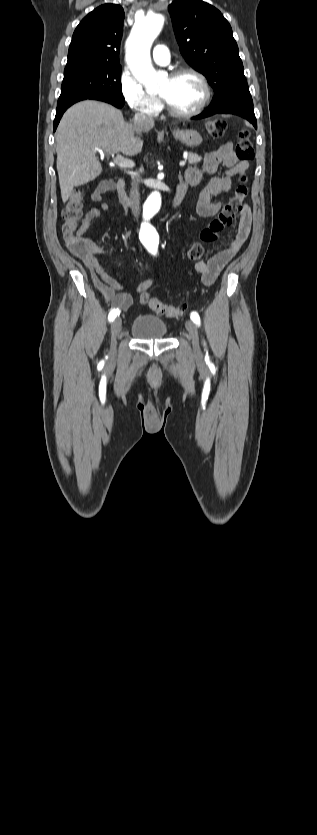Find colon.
I'll use <instances>...</instances> for the list:
<instances>
[{"label": "colon", "mask_w": 317, "mask_h": 835, "mask_svg": "<svg viewBox=\"0 0 317 835\" xmlns=\"http://www.w3.org/2000/svg\"><path fill=\"white\" fill-rule=\"evenodd\" d=\"M226 128L227 126L224 121L216 119L207 122L205 126L206 132L214 138L223 137ZM236 156L243 161H250L254 158L253 144L246 130H241L238 133ZM245 181V176L239 177V183L234 195L223 206L219 214L202 230L200 236L201 242L195 243L189 248L187 254L190 260L194 261L202 258L205 251L204 244L216 241L220 233L233 223L236 215L242 209L248 194ZM82 209L83 194L79 189H75L69 195L61 212L64 221L63 232L69 247L77 255L88 256L95 251L96 247L91 239L83 236V234H79V230L81 229L79 221L82 216ZM139 302L142 305H147L155 314L167 318H181L185 313L183 306L165 303L150 296L146 291L140 293Z\"/></svg>", "instance_id": "1"}]
</instances>
